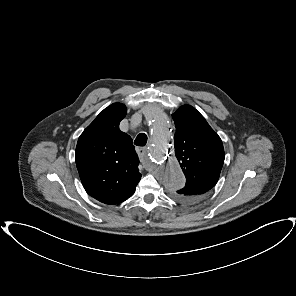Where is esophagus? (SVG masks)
<instances>
[{
	"instance_id": "obj_1",
	"label": "esophagus",
	"mask_w": 296,
	"mask_h": 296,
	"mask_svg": "<svg viewBox=\"0 0 296 296\" xmlns=\"http://www.w3.org/2000/svg\"><path fill=\"white\" fill-rule=\"evenodd\" d=\"M137 154H138L140 160L143 161V159L145 158V156L147 154V149L145 147L137 148Z\"/></svg>"
}]
</instances>
